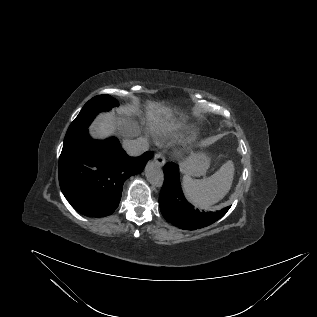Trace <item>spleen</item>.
I'll return each instance as SVG.
<instances>
[{
	"label": "spleen",
	"instance_id": "spleen-1",
	"mask_svg": "<svg viewBox=\"0 0 317 317\" xmlns=\"http://www.w3.org/2000/svg\"><path fill=\"white\" fill-rule=\"evenodd\" d=\"M234 176V164L227 161L208 178L193 179L189 175L183 177V189L187 199L195 206L208 209L229 192Z\"/></svg>",
	"mask_w": 317,
	"mask_h": 317
}]
</instances>
